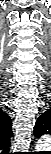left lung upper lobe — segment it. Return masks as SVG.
<instances>
[{"label": "left lung upper lobe", "instance_id": "left-lung-upper-lobe-1", "mask_svg": "<svg viewBox=\"0 0 51 154\" xmlns=\"http://www.w3.org/2000/svg\"><path fill=\"white\" fill-rule=\"evenodd\" d=\"M44 118V115H41L36 122L34 130V134L36 137H40L41 135L45 134V129H43V123L45 122Z\"/></svg>", "mask_w": 51, "mask_h": 154}]
</instances>
